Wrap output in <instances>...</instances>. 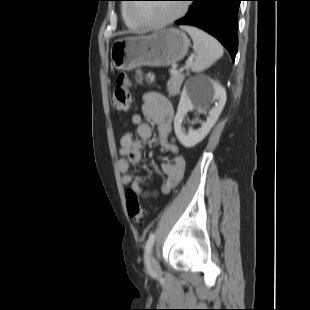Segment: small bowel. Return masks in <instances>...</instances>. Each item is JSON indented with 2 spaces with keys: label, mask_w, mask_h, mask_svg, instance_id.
Instances as JSON below:
<instances>
[{
  "label": "small bowel",
  "mask_w": 310,
  "mask_h": 310,
  "mask_svg": "<svg viewBox=\"0 0 310 310\" xmlns=\"http://www.w3.org/2000/svg\"><path fill=\"white\" fill-rule=\"evenodd\" d=\"M173 116L174 109L170 101L155 91L143 95L142 113H135L131 116V123L136 128L138 136L143 140L149 139L152 135V127L143 121V117L153 122L157 126L160 147L173 155V161H164L161 164L162 171L166 175V179L161 185L163 194L171 193L182 182L186 169V163L179 147L169 140ZM119 155L118 167L122 173V183L134 190L139 196L155 195L154 191L143 189V176H134L128 173L130 165L138 163L142 159L141 142L135 139L131 133H125L121 136Z\"/></svg>",
  "instance_id": "small-bowel-1"
}]
</instances>
